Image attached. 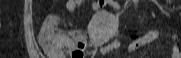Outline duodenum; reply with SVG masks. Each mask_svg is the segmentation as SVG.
Returning <instances> with one entry per match:
<instances>
[{
	"instance_id": "obj_1",
	"label": "duodenum",
	"mask_w": 181,
	"mask_h": 58,
	"mask_svg": "<svg viewBox=\"0 0 181 58\" xmlns=\"http://www.w3.org/2000/svg\"><path fill=\"white\" fill-rule=\"evenodd\" d=\"M138 0H134V1H132V2H137Z\"/></svg>"
}]
</instances>
